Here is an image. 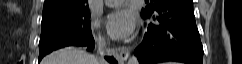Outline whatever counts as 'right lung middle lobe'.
<instances>
[{
    "mask_svg": "<svg viewBox=\"0 0 242 64\" xmlns=\"http://www.w3.org/2000/svg\"><path fill=\"white\" fill-rule=\"evenodd\" d=\"M89 19L88 8L42 14L39 59L53 50L91 41Z\"/></svg>",
    "mask_w": 242,
    "mask_h": 64,
    "instance_id": "obj_1",
    "label": "right lung middle lobe"
}]
</instances>
